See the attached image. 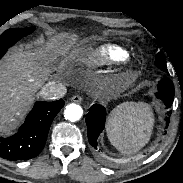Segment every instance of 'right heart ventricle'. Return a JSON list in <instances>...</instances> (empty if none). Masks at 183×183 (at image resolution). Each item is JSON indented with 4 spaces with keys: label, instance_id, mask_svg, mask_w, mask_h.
<instances>
[{
    "label": "right heart ventricle",
    "instance_id": "right-heart-ventricle-1",
    "mask_svg": "<svg viewBox=\"0 0 183 183\" xmlns=\"http://www.w3.org/2000/svg\"><path fill=\"white\" fill-rule=\"evenodd\" d=\"M128 54V51L121 47L108 45L84 53L82 60L90 65L98 61L115 63L126 58Z\"/></svg>",
    "mask_w": 183,
    "mask_h": 183
}]
</instances>
